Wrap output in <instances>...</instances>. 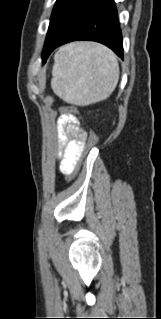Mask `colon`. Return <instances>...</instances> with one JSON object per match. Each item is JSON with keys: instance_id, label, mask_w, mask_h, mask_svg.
<instances>
[{"instance_id": "obj_1", "label": "colon", "mask_w": 161, "mask_h": 319, "mask_svg": "<svg viewBox=\"0 0 161 319\" xmlns=\"http://www.w3.org/2000/svg\"><path fill=\"white\" fill-rule=\"evenodd\" d=\"M64 110L66 112L72 113V114L77 113V109L73 106H65ZM84 139H85V150L86 151L92 149L98 141V137L94 132L87 133L85 135Z\"/></svg>"}]
</instances>
